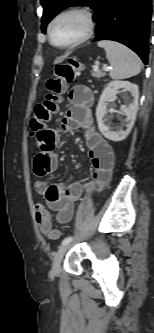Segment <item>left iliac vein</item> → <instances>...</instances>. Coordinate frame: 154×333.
Masks as SVG:
<instances>
[{
    "mask_svg": "<svg viewBox=\"0 0 154 333\" xmlns=\"http://www.w3.org/2000/svg\"><path fill=\"white\" fill-rule=\"evenodd\" d=\"M70 246H71L70 243L64 244L57 251V253L53 259V263H52V274L53 275H55V276L59 275L60 270H61V261L65 255V253L70 248Z\"/></svg>",
    "mask_w": 154,
    "mask_h": 333,
    "instance_id": "left-iliac-vein-1",
    "label": "left iliac vein"
}]
</instances>
